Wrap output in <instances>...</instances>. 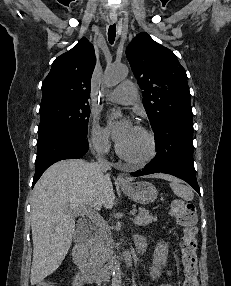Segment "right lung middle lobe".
I'll return each mask as SVG.
<instances>
[{
    "label": "right lung middle lobe",
    "instance_id": "1",
    "mask_svg": "<svg viewBox=\"0 0 231 286\" xmlns=\"http://www.w3.org/2000/svg\"><path fill=\"white\" fill-rule=\"evenodd\" d=\"M38 141L51 135L73 132L87 136L90 108L88 103L60 101L40 106Z\"/></svg>",
    "mask_w": 231,
    "mask_h": 286
}]
</instances>
